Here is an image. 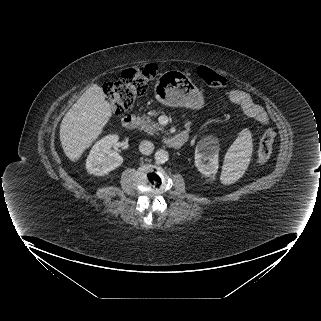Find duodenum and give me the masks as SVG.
Returning a JSON list of instances; mask_svg holds the SVG:
<instances>
[{
    "label": "duodenum",
    "mask_w": 321,
    "mask_h": 321,
    "mask_svg": "<svg viewBox=\"0 0 321 321\" xmlns=\"http://www.w3.org/2000/svg\"><path fill=\"white\" fill-rule=\"evenodd\" d=\"M122 125L127 130H133L138 125V119L135 115L128 114L122 118ZM165 144L170 148H179L186 142L185 135H172L164 139Z\"/></svg>",
    "instance_id": "obj_1"
}]
</instances>
